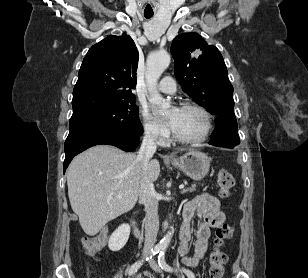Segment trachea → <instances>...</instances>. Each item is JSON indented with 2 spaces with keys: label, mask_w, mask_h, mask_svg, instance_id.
Returning a JSON list of instances; mask_svg holds the SVG:
<instances>
[{
  "label": "trachea",
  "mask_w": 308,
  "mask_h": 278,
  "mask_svg": "<svg viewBox=\"0 0 308 278\" xmlns=\"http://www.w3.org/2000/svg\"><path fill=\"white\" fill-rule=\"evenodd\" d=\"M144 16H145L147 19H149V18H151V17L153 16V12H149V13L144 12Z\"/></svg>",
  "instance_id": "1"
}]
</instances>
